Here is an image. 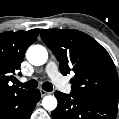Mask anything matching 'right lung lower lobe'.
I'll list each match as a JSON object with an SVG mask.
<instances>
[{"mask_svg":"<svg viewBox=\"0 0 119 119\" xmlns=\"http://www.w3.org/2000/svg\"><path fill=\"white\" fill-rule=\"evenodd\" d=\"M39 99L38 89L0 97V119H30Z\"/></svg>","mask_w":119,"mask_h":119,"instance_id":"obj_1","label":"right lung lower lobe"}]
</instances>
